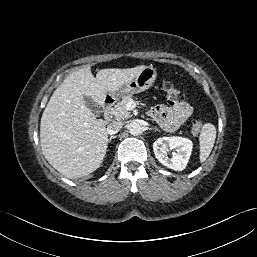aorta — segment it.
Wrapping results in <instances>:
<instances>
[{
  "mask_svg": "<svg viewBox=\"0 0 257 257\" xmlns=\"http://www.w3.org/2000/svg\"><path fill=\"white\" fill-rule=\"evenodd\" d=\"M128 129L132 135H140L143 132V127L138 120H133L129 124Z\"/></svg>",
  "mask_w": 257,
  "mask_h": 257,
  "instance_id": "obj_1",
  "label": "aorta"
}]
</instances>
